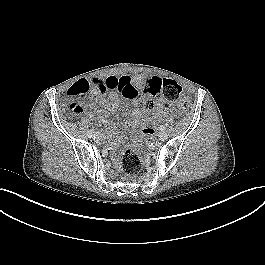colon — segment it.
<instances>
[{"label": "colon", "mask_w": 265, "mask_h": 265, "mask_svg": "<svg viewBox=\"0 0 265 265\" xmlns=\"http://www.w3.org/2000/svg\"><path fill=\"white\" fill-rule=\"evenodd\" d=\"M91 83L87 81H78L73 84L68 90V107L75 113L81 112L82 106L74 101V99H82L89 91ZM154 95L162 94L166 104H179L182 108L186 109L189 106V100L182 96L181 86L173 79L162 78L155 79L151 85ZM148 116L152 115L154 109V102L147 100L144 104ZM122 168L124 172L130 177H136L142 167V157L140 148L133 140L129 147L126 149L122 156Z\"/></svg>", "instance_id": "5ec220e1"}]
</instances>
